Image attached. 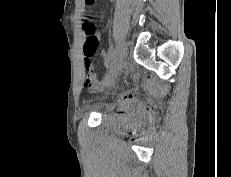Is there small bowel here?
Segmentation results:
<instances>
[{"instance_id":"small-bowel-1","label":"small bowel","mask_w":231,"mask_h":177,"mask_svg":"<svg viewBox=\"0 0 231 177\" xmlns=\"http://www.w3.org/2000/svg\"><path fill=\"white\" fill-rule=\"evenodd\" d=\"M106 62H108V58H106ZM84 67L87 71L86 78H85V86L89 89H98L99 82L96 76L91 72L92 70V61L91 58L84 57Z\"/></svg>"}]
</instances>
